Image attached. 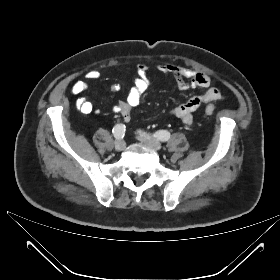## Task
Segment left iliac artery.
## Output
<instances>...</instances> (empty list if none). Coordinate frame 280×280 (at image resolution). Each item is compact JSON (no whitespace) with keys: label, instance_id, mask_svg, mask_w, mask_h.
<instances>
[{"label":"left iliac artery","instance_id":"44dca946","mask_svg":"<svg viewBox=\"0 0 280 280\" xmlns=\"http://www.w3.org/2000/svg\"><path fill=\"white\" fill-rule=\"evenodd\" d=\"M154 137L165 142L170 139V133L167 130H159L154 134Z\"/></svg>","mask_w":280,"mask_h":280}]
</instances>
